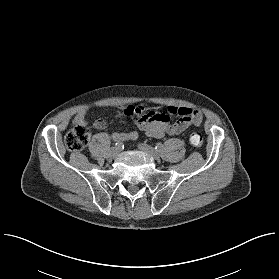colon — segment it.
<instances>
[{
    "mask_svg": "<svg viewBox=\"0 0 279 279\" xmlns=\"http://www.w3.org/2000/svg\"><path fill=\"white\" fill-rule=\"evenodd\" d=\"M91 131L86 124L74 125L65 136V144L70 151H81L89 142ZM189 142L195 147L201 146L203 142L202 134L200 132H193L190 134Z\"/></svg>",
    "mask_w": 279,
    "mask_h": 279,
    "instance_id": "colon-1",
    "label": "colon"
}]
</instances>
